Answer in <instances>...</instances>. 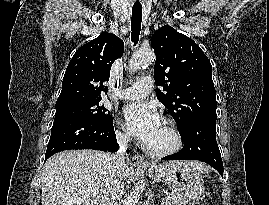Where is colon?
<instances>
[{
	"mask_svg": "<svg viewBox=\"0 0 269 205\" xmlns=\"http://www.w3.org/2000/svg\"><path fill=\"white\" fill-rule=\"evenodd\" d=\"M192 205H203V204L195 203V204H192Z\"/></svg>",
	"mask_w": 269,
	"mask_h": 205,
	"instance_id": "5ec220e1",
	"label": "colon"
}]
</instances>
